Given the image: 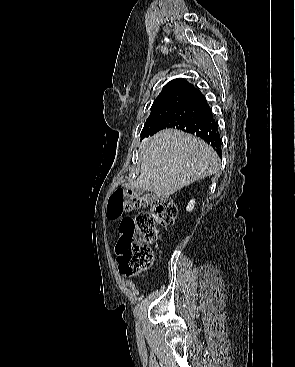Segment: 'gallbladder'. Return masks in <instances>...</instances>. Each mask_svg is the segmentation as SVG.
I'll return each instance as SVG.
<instances>
[{
	"mask_svg": "<svg viewBox=\"0 0 295 367\" xmlns=\"http://www.w3.org/2000/svg\"><path fill=\"white\" fill-rule=\"evenodd\" d=\"M143 189L142 188H136L135 189V193L137 194V195H142V193H143Z\"/></svg>",
	"mask_w": 295,
	"mask_h": 367,
	"instance_id": "1",
	"label": "gallbladder"
}]
</instances>
